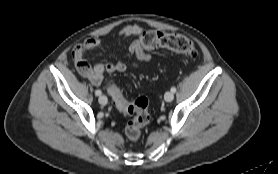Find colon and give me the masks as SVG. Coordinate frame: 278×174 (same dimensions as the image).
<instances>
[{"mask_svg":"<svg viewBox=\"0 0 278 174\" xmlns=\"http://www.w3.org/2000/svg\"><path fill=\"white\" fill-rule=\"evenodd\" d=\"M140 42L143 47L148 49L166 48L177 53L185 54L191 58L198 56L193 41L177 33L147 31L141 36ZM81 57L83 62H87L85 50L83 49H81ZM106 91L121 112L133 115V118L126 125L125 133L130 141H137L141 136L142 128L150 120L148 100L145 97H139L133 101H127L122 90L113 81H109L106 84Z\"/></svg>","mask_w":278,"mask_h":174,"instance_id":"obj_1","label":"colon"}]
</instances>
